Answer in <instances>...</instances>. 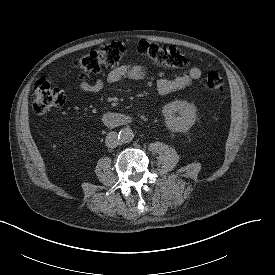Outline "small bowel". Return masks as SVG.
Masks as SVG:
<instances>
[{
	"label": "small bowel",
	"instance_id": "obj_1",
	"mask_svg": "<svg viewBox=\"0 0 275 275\" xmlns=\"http://www.w3.org/2000/svg\"><path fill=\"white\" fill-rule=\"evenodd\" d=\"M145 74L146 69L142 66L124 64L109 72L105 79H97L93 82L80 80L78 87L85 93H99L104 89L106 83L113 84L125 78L138 80L143 78ZM201 74L202 72L199 68L193 67L187 74L174 79L161 77L156 81V89L162 95L182 90L189 87L195 80H198Z\"/></svg>",
	"mask_w": 275,
	"mask_h": 275
}]
</instances>
